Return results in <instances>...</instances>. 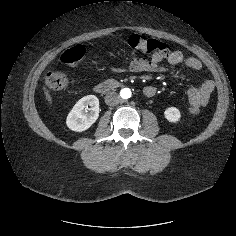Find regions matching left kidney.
I'll return each instance as SVG.
<instances>
[{"instance_id": "left-kidney-1", "label": "left kidney", "mask_w": 236, "mask_h": 236, "mask_svg": "<svg viewBox=\"0 0 236 236\" xmlns=\"http://www.w3.org/2000/svg\"><path fill=\"white\" fill-rule=\"evenodd\" d=\"M165 118L171 123L180 121L181 113L176 107H169L164 111Z\"/></svg>"}]
</instances>
